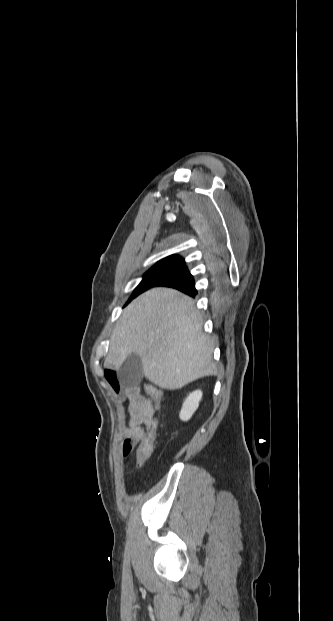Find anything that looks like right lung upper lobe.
<instances>
[{
  "label": "right lung upper lobe",
  "mask_w": 333,
  "mask_h": 621,
  "mask_svg": "<svg viewBox=\"0 0 333 621\" xmlns=\"http://www.w3.org/2000/svg\"><path fill=\"white\" fill-rule=\"evenodd\" d=\"M169 258H172V259H182L181 257H179L177 255H171V256H168V257H166L164 259H169Z\"/></svg>",
  "instance_id": "cb5924a9"
}]
</instances>
